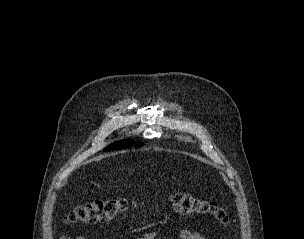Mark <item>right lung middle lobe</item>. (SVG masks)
Wrapping results in <instances>:
<instances>
[{"label": "right lung middle lobe", "instance_id": "dd1d6c3e", "mask_svg": "<svg viewBox=\"0 0 304 239\" xmlns=\"http://www.w3.org/2000/svg\"><path fill=\"white\" fill-rule=\"evenodd\" d=\"M142 143H134L132 141H128V140H122V141H118L115 142L111 145H109L106 149H104V151H111V150H118V149H125V148H130L132 146L135 147H140L142 146Z\"/></svg>", "mask_w": 304, "mask_h": 239}]
</instances>
